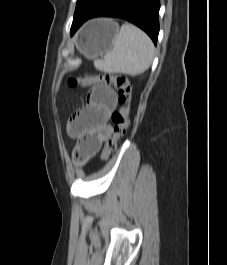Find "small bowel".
<instances>
[{
  "label": "small bowel",
  "mask_w": 227,
  "mask_h": 265,
  "mask_svg": "<svg viewBox=\"0 0 227 265\" xmlns=\"http://www.w3.org/2000/svg\"><path fill=\"white\" fill-rule=\"evenodd\" d=\"M115 107L114 91L108 86L97 85L89 91L87 104L70 117L68 134L78 139L76 148L85 159L98 152L103 141L111 135L108 121Z\"/></svg>",
  "instance_id": "obj_1"
}]
</instances>
